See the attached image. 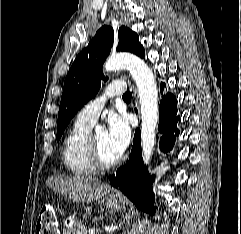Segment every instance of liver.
Instances as JSON below:
<instances>
[{
    "label": "liver",
    "instance_id": "1",
    "mask_svg": "<svg viewBox=\"0 0 241 234\" xmlns=\"http://www.w3.org/2000/svg\"><path fill=\"white\" fill-rule=\"evenodd\" d=\"M49 188L77 203H92L110 192L111 187L90 176L53 175L46 181Z\"/></svg>",
    "mask_w": 241,
    "mask_h": 234
}]
</instances>
